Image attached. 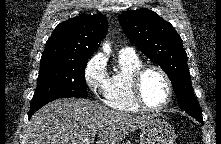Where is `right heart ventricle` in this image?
<instances>
[{
	"mask_svg": "<svg viewBox=\"0 0 221 144\" xmlns=\"http://www.w3.org/2000/svg\"><path fill=\"white\" fill-rule=\"evenodd\" d=\"M119 68L110 77L109 92L105 99L112 109L123 112H137L131 93V75L142 65V61L135 56L119 55Z\"/></svg>",
	"mask_w": 221,
	"mask_h": 144,
	"instance_id": "1",
	"label": "right heart ventricle"
}]
</instances>
